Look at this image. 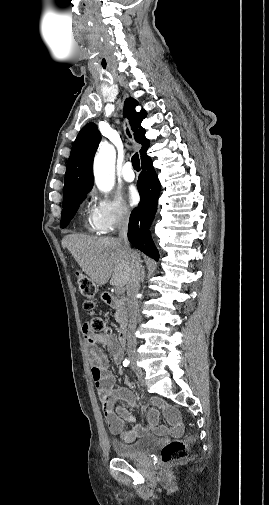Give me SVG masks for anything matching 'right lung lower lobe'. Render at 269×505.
I'll return each instance as SVG.
<instances>
[{
	"label": "right lung lower lobe",
	"mask_w": 269,
	"mask_h": 505,
	"mask_svg": "<svg viewBox=\"0 0 269 505\" xmlns=\"http://www.w3.org/2000/svg\"><path fill=\"white\" fill-rule=\"evenodd\" d=\"M141 201L129 219L128 239L130 243L148 256L158 260L156 249L149 226L157 211V199L160 195V183L152 166V160L146 157L142 160V172L137 183Z\"/></svg>",
	"instance_id": "98d812e1"
}]
</instances>
